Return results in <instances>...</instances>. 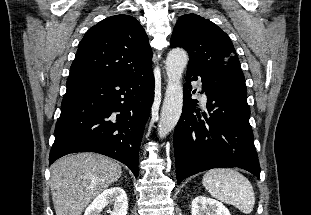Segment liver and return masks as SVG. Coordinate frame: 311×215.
I'll return each instance as SVG.
<instances>
[{"label":"liver","instance_id":"obj_1","mask_svg":"<svg viewBox=\"0 0 311 215\" xmlns=\"http://www.w3.org/2000/svg\"><path fill=\"white\" fill-rule=\"evenodd\" d=\"M50 170L56 215H81L87 205L122 174L118 162L93 153L62 157Z\"/></svg>","mask_w":311,"mask_h":215}]
</instances>
